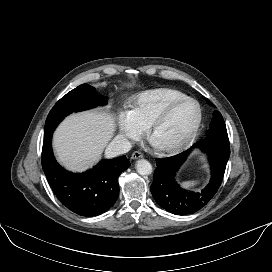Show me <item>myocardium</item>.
Here are the masks:
<instances>
[{"mask_svg":"<svg viewBox=\"0 0 272 272\" xmlns=\"http://www.w3.org/2000/svg\"><path fill=\"white\" fill-rule=\"evenodd\" d=\"M186 102H192L197 106L198 110V115L196 122L191 129L190 133L187 135V137L182 140L181 142L174 144V145H169V146H162V145H157L154 141L155 134L157 130L160 128V126L167 120V118L171 115V113L174 111L176 107L179 105L186 103ZM202 118H203V113H202V107L200 103L192 98V97H183L177 100H174L170 104H168L157 116L156 118L152 121V123L149 126L148 129V137L149 140L156 146V148L164 153V154H175L178 153L187 147L191 145V143L194 141L195 137L197 136V133L200 129L201 123H202Z\"/></svg>","mask_w":272,"mask_h":272,"instance_id":"obj_1","label":"myocardium"}]
</instances>
